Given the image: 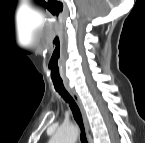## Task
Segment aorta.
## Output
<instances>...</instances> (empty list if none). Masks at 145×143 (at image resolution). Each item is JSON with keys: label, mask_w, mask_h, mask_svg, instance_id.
Segmentation results:
<instances>
[{"label": "aorta", "mask_w": 145, "mask_h": 143, "mask_svg": "<svg viewBox=\"0 0 145 143\" xmlns=\"http://www.w3.org/2000/svg\"><path fill=\"white\" fill-rule=\"evenodd\" d=\"M78 132L74 126H62L51 138L52 143H75Z\"/></svg>", "instance_id": "1"}]
</instances>
